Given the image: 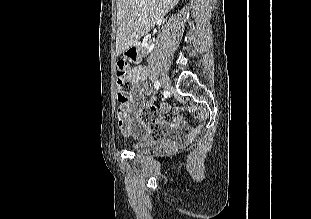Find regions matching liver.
I'll return each instance as SVG.
<instances>
[{
	"label": "liver",
	"instance_id": "1",
	"mask_svg": "<svg viewBox=\"0 0 311 219\" xmlns=\"http://www.w3.org/2000/svg\"><path fill=\"white\" fill-rule=\"evenodd\" d=\"M179 0H117L116 55L147 34Z\"/></svg>",
	"mask_w": 311,
	"mask_h": 219
}]
</instances>
